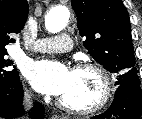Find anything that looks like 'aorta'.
Returning <instances> with one entry per match:
<instances>
[{"mask_svg": "<svg viewBox=\"0 0 142 119\" xmlns=\"http://www.w3.org/2000/svg\"><path fill=\"white\" fill-rule=\"evenodd\" d=\"M70 13L66 7L56 6L45 16V27L50 33L60 32L69 19Z\"/></svg>", "mask_w": 142, "mask_h": 119, "instance_id": "1", "label": "aorta"}]
</instances>
